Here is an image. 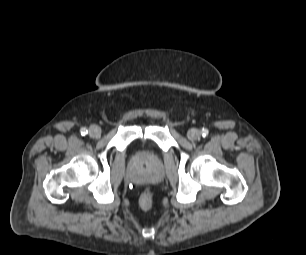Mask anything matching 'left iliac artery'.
Wrapping results in <instances>:
<instances>
[{
    "mask_svg": "<svg viewBox=\"0 0 306 255\" xmlns=\"http://www.w3.org/2000/svg\"><path fill=\"white\" fill-rule=\"evenodd\" d=\"M208 133H209V131H208V129H206V128H203V129L201 130V134H202L203 137H206V136L208 135Z\"/></svg>",
    "mask_w": 306,
    "mask_h": 255,
    "instance_id": "44dca946",
    "label": "left iliac artery"
}]
</instances>
